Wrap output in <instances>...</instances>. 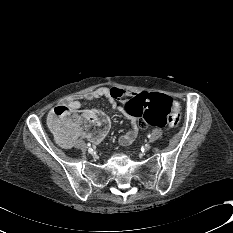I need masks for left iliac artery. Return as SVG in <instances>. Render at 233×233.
<instances>
[{
	"label": "left iliac artery",
	"instance_id": "1",
	"mask_svg": "<svg viewBox=\"0 0 233 233\" xmlns=\"http://www.w3.org/2000/svg\"><path fill=\"white\" fill-rule=\"evenodd\" d=\"M147 137H148L149 139H151V134H149Z\"/></svg>",
	"mask_w": 233,
	"mask_h": 233
}]
</instances>
